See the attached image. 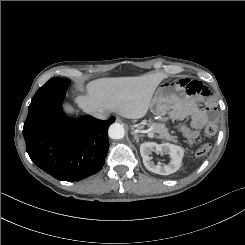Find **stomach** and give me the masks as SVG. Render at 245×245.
Listing matches in <instances>:
<instances>
[{"mask_svg": "<svg viewBox=\"0 0 245 245\" xmlns=\"http://www.w3.org/2000/svg\"><path fill=\"white\" fill-rule=\"evenodd\" d=\"M186 93L172 82H163L156 90L151 101V111L163 121L184 120L190 109L186 104Z\"/></svg>", "mask_w": 245, "mask_h": 245, "instance_id": "stomach-1", "label": "stomach"}]
</instances>
